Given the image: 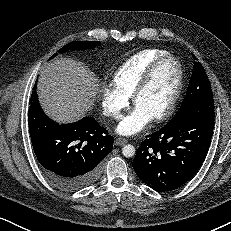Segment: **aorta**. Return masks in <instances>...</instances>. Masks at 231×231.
Listing matches in <instances>:
<instances>
[{
  "label": "aorta",
  "mask_w": 231,
  "mask_h": 231,
  "mask_svg": "<svg viewBox=\"0 0 231 231\" xmlns=\"http://www.w3.org/2000/svg\"><path fill=\"white\" fill-rule=\"evenodd\" d=\"M122 153L127 158L132 157L135 154V148L133 145L127 144L122 148Z\"/></svg>",
  "instance_id": "762f6f07"
}]
</instances>
